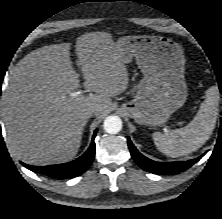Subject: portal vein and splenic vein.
Returning <instances> with one entry per match:
<instances>
[{
	"label": "portal vein and splenic vein",
	"mask_w": 222,
	"mask_h": 219,
	"mask_svg": "<svg viewBox=\"0 0 222 219\" xmlns=\"http://www.w3.org/2000/svg\"><path fill=\"white\" fill-rule=\"evenodd\" d=\"M79 94H80V92H75V93H72L71 96H77Z\"/></svg>",
	"instance_id": "portal-vein-and-splenic-vein-1"
}]
</instances>
